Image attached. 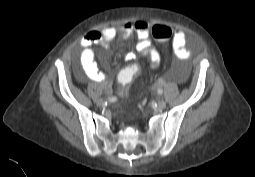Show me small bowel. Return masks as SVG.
Segmentation results:
<instances>
[{
  "label": "small bowel",
  "instance_id": "c3829d8e",
  "mask_svg": "<svg viewBox=\"0 0 255 177\" xmlns=\"http://www.w3.org/2000/svg\"><path fill=\"white\" fill-rule=\"evenodd\" d=\"M132 34L137 37V50L145 57H148L152 68H157L161 58L159 53L151 47L150 42V26L147 22L139 20L136 22H128L121 26L120 30L115 27H106L101 32H90L80 42V69H76L77 76L82 80L84 76L95 82H106L107 75L101 71L95 61V53L93 46L101 45L108 48V43L115 39L118 35L122 39H127ZM186 35L182 30H175L172 38V46L177 58L182 61L190 57V52L185 47ZM136 58L134 52H128L125 55L127 61H133ZM109 90V86L106 87Z\"/></svg>",
  "mask_w": 255,
  "mask_h": 177
}]
</instances>
